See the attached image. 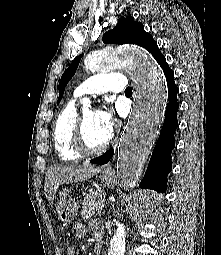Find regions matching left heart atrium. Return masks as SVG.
<instances>
[{"instance_id": "39dd6f15", "label": "left heart atrium", "mask_w": 221, "mask_h": 255, "mask_svg": "<svg viewBox=\"0 0 221 255\" xmlns=\"http://www.w3.org/2000/svg\"><path fill=\"white\" fill-rule=\"evenodd\" d=\"M97 115L99 120L103 124V126L107 128L108 130H111L113 127V121H114L112 110L109 108H106L102 111H99Z\"/></svg>"}]
</instances>
